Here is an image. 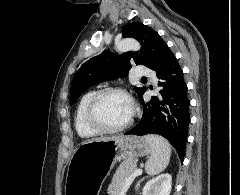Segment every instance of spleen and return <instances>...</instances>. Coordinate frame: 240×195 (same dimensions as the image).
Masks as SVG:
<instances>
[{"instance_id":"spleen-1","label":"spleen","mask_w":240,"mask_h":195,"mask_svg":"<svg viewBox=\"0 0 240 195\" xmlns=\"http://www.w3.org/2000/svg\"><path fill=\"white\" fill-rule=\"evenodd\" d=\"M151 147L150 155L145 163V169L148 175H157L163 169H166L171 157V145L168 139L156 133H147L145 135Z\"/></svg>"}]
</instances>
